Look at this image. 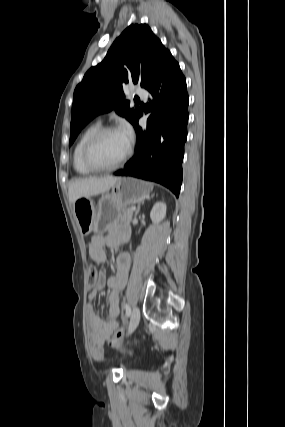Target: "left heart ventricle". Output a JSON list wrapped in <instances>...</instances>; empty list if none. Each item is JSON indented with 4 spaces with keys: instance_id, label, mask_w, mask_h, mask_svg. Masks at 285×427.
Segmentation results:
<instances>
[{
    "instance_id": "obj_1",
    "label": "left heart ventricle",
    "mask_w": 285,
    "mask_h": 427,
    "mask_svg": "<svg viewBox=\"0 0 285 427\" xmlns=\"http://www.w3.org/2000/svg\"><path fill=\"white\" fill-rule=\"evenodd\" d=\"M129 143L119 131L106 134L93 151L94 160L101 165L117 162L127 151Z\"/></svg>"
}]
</instances>
